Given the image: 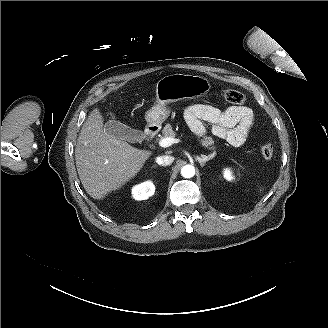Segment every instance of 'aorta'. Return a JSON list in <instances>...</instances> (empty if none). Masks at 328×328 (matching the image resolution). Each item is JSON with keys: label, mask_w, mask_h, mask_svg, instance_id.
Here are the masks:
<instances>
[{"label": "aorta", "mask_w": 328, "mask_h": 328, "mask_svg": "<svg viewBox=\"0 0 328 328\" xmlns=\"http://www.w3.org/2000/svg\"><path fill=\"white\" fill-rule=\"evenodd\" d=\"M181 175L184 178H191L195 175V168L192 165H185L181 169Z\"/></svg>", "instance_id": "obj_1"}]
</instances>
